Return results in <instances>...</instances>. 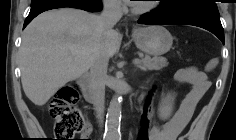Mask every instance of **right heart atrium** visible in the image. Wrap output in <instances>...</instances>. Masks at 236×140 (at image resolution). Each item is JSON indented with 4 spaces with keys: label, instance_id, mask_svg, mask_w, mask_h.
<instances>
[{
    "label": "right heart atrium",
    "instance_id": "obj_1",
    "mask_svg": "<svg viewBox=\"0 0 236 140\" xmlns=\"http://www.w3.org/2000/svg\"><path fill=\"white\" fill-rule=\"evenodd\" d=\"M104 5L107 8V10L114 13H119L123 10L120 2L117 0H105Z\"/></svg>",
    "mask_w": 236,
    "mask_h": 140
}]
</instances>
